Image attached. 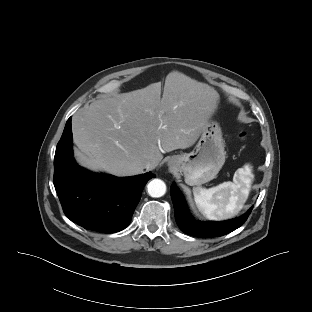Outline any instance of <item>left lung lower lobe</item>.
Instances as JSON below:
<instances>
[{"label":"left lung lower lobe","mask_w":312,"mask_h":312,"mask_svg":"<svg viewBox=\"0 0 312 312\" xmlns=\"http://www.w3.org/2000/svg\"><path fill=\"white\" fill-rule=\"evenodd\" d=\"M171 198L174 204L175 218L179 228L184 233L199 238L223 236L236 230L243 225L253 209V207H251L244 215L235 219L222 222H202L195 220L191 216L186 206L185 199L175 183L171 186Z\"/></svg>","instance_id":"left-lung-lower-lobe-1"}]
</instances>
